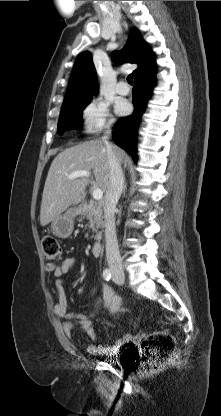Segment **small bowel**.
<instances>
[{
  "label": "small bowel",
  "instance_id": "1",
  "mask_svg": "<svg viewBox=\"0 0 221 416\" xmlns=\"http://www.w3.org/2000/svg\"><path fill=\"white\" fill-rule=\"evenodd\" d=\"M77 265V259L75 257H67L60 264L47 263L44 267L45 272L53 274L56 280V291L58 294V301L54 306V314L60 319L64 320L63 330L66 336L72 337L75 324L82 327L84 332L92 341L87 347V351L93 355H113L123 346L131 343L133 337L130 334H126L121 338H118L111 346H104L98 343V335L93 327V323L90 317L71 312L68 307L66 293L62 280L59 278L67 274ZM102 290V297L98 300V304L102 305L109 312L115 313L121 307V299L114 291L105 283L98 285ZM97 286L90 290V294L95 293Z\"/></svg>",
  "mask_w": 221,
  "mask_h": 416
}]
</instances>
